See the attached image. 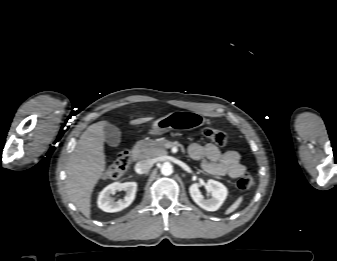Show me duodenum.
Here are the masks:
<instances>
[{"label":"duodenum","mask_w":337,"mask_h":261,"mask_svg":"<svg viewBox=\"0 0 337 261\" xmlns=\"http://www.w3.org/2000/svg\"><path fill=\"white\" fill-rule=\"evenodd\" d=\"M131 157L134 160H137L140 157V148L139 145H135L131 150Z\"/></svg>","instance_id":"obj_1"}]
</instances>
